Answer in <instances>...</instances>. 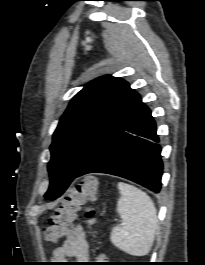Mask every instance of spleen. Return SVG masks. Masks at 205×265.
Here are the masks:
<instances>
[{
  "mask_svg": "<svg viewBox=\"0 0 205 265\" xmlns=\"http://www.w3.org/2000/svg\"><path fill=\"white\" fill-rule=\"evenodd\" d=\"M118 189L120 197L116 210L122 223L113 227L111 242L127 254L147 255L158 228L155 205L145 192L135 186L119 182Z\"/></svg>",
  "mask_w": 205,
  "mask_h": 265,
  "instance_id": "1",
  "label": "spleen"
}]
</instances>
